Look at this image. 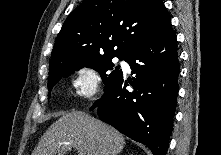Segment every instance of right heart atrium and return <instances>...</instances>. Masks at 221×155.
I'll use <instances>...</instances> for the list:
<instances>
[{"instance_id":"1","label":"right heart atrium","mask_w":221,"mask_h":155,"mask_svg":"<svg viewBox=\"0 0 221 155\" xmlns=\"http://www.w3.org/2000/svg\"><path fill=\"white\" fill-rule=\"evenodd\" d=\"M72 85L77 97L90 100L100 92L101 79L94 68L82 67L74 73Z\"/></svg>"}]
</instances>
